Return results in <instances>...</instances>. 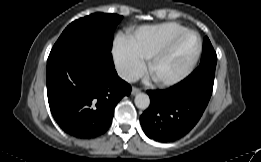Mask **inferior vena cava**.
<instances>
[{"label":"inferior vena cava","mask_w":261,"mask_h":162,"mask_svg":"<svg viewBox=\"0 0 261 162\" xmlns=\"http://www.w3.org/2000/svg\"><path fill=\"white\" fill-rule=\"evenodd\" d=\"M117 73L119 77L127 82H135L138 80V76L130 69L119 67L117 68Z\"/></svg>","instance_id":"602c4592"}]
</instances>
